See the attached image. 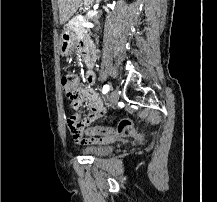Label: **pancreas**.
Returning <instances> with one entry per match:
<instances>
[{
  "instance_id": "1",
  "label": "pancreas",
  "mask_w": 217,
  "mask_h": 202,
  "mask_svg": "<svg viewBox=\"0 0 217 202\" xmlns=\"http://www.w3.org/2000/svg\"><path fill=\"white\" fill-rule=\"evenodd\" d=\"M77 22H79V24H77ZM85 22H87V20H85ZM68 28L77 34V39L79 41H81L84 38L85 34H87L86 28H84V26H81V22L78 20V18H75L71 24H68Z\"/></svg>"
}]
</instances>
